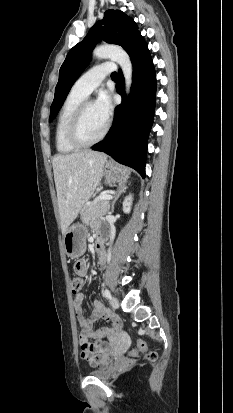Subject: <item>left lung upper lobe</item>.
<instances>
[{"label": "left lung upper lobe", "instance_id": "5c2ea615", "mask_svg": "<svg viewBox=\"0 0 233 413\" xmlns=\"http://www.w3.org/2000/svg\"><path fill=\"white\" fill-rule=\"evenodd\" d=\"M100 40L120 45L127 53L144 41L131 17L119 10H107L104 18L97 22L86 37L66 56L59 71L49 121L57 115L72 85L90 61V51Z\"/></svg>", "mask_w": 233, "mask_h": 413}]
</instances>
